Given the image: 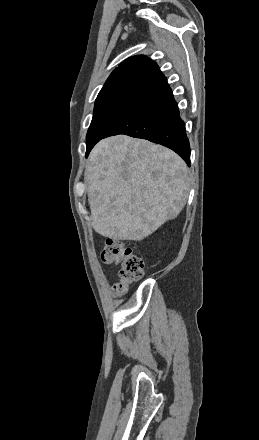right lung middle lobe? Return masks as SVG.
Segmentation results:
<instances>
[{"label": "right lung middle lobe", "instance_id": "right-lung-middle-lobe-1", "mask_svg": "<svg viewBox=\"0 0 259 440\" xmlns=\"http://www.w3.org/2000/svg\"><path fill=\"white\" fill-rule=\"evenodd\" d=\"M146 95V92H119L97 97L86 145L100 139L121 121Z\"/></svg>", "mask_w": 259, "mask_h": 440}]
</instances>
